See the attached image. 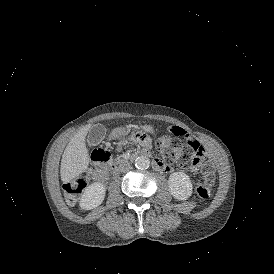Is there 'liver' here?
<instances>
[{
  "instance_id": "liver-1",
  "label": "liver",
  "mask_w": 274,
  "mask_h": 274,
  "mask_svg": "<svg viewBox=\"0 0 274 274\" xmlns=\"http://www.w3.org/2000/svg\"><path fill=\"white\" fill-rule=\"evenodd\" d=\"M91 128L87 124L71 138L66 146L61 159L60 175L63 183H68L85 172L89 165L88 150L85 145V137Z\"/></svg>"
}]
</instances>
